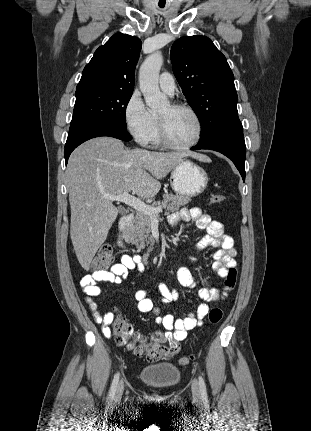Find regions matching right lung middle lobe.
Listing matches in <instances>:
<instances>
[{"label": "right lung middle lobe", "instance_id": "right-lung-middle-lobe-1", "mask_svg": "<svg viewBox=\"0 0 311 431\" xmlns=\"http://www.w3.org/2000/svg\"><path fill=\"white\" fill-rule=\"evenodd\" d=\"M132 93L98 88L76 91L70 128L89 121L126 126L125 111Z\"/></svg>", "mask_w": 311, "mask_h": 431}]
</instances>
